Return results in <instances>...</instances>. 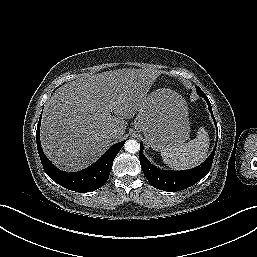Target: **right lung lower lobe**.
<instances>
[{
	"mask_svg": "<svg viewBox=\"0 0 257 257\" xmlns=\"http://www.w3.org/2000/svg\"><path fill=\"white\" fill-rule=\"evenodd\" d=\"M40 123L41 116L36 131L37 149L43 168L52 180L64 188L80 193L94 191L105 184L109 178L113 160L121 150L125 141L113 145L97 162L87 169L68 173L59 170L45 156L40 144Z\"/></svg>",
	"mask_w": 257,
	"mask_h": 257,
	"instance_id": "right-lung-lower-lobe-1",
	"label": "right lung lower lobe"
}]
</instances>
